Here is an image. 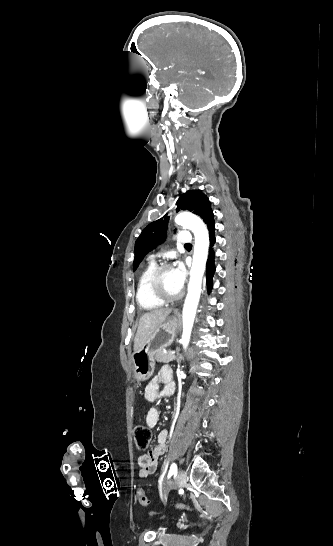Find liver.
I'll return each mask as SVG.
<instances>
[{"instance_id":"1","label":"liver","mask_w":333,"mask_h":546,"mask_svg":"<svg viewBox=\"0 0 333 546\" xmlns=\"http://www.w3.org/2000/svg\"><path fill=\"white\" fill-rule=\"evenodd\" d=\"M172 309H155L143 314L138 323L137 333L134 339V352L141 349L152 337L156 329L166 321Z\"/></svg>"}]
</instances>
